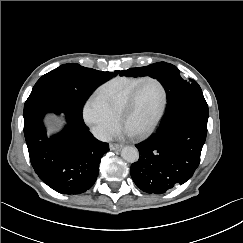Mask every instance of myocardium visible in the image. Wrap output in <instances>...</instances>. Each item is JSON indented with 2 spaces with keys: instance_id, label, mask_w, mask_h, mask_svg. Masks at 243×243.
Returning <instances> with one entry per match:
<instances>
[{
  "instance_id": "obj_1",
  "label": "myocardium",
  "mask_w": 243,
  "mask_h": 243,
  "mask_svg": "<svg viewBox=\"0 0 243 243\" xmlns=\"http://www.w3.org/2000/svg\"><path fill=\"white\" fill-rule=\"evenodd\" d=\"M149 81L156 82L159 85V87L161 88V91H162V102H161L160 108H159L156 116L154 117V119L152 120L150 125L147 126L145 129L134 133L138 137H145V136L149 135L157 127V125L159 124L160 120L162 119V117H163V115L165 113V110H166V107H167L168 95H167L166 87L163 84V82L161 80H159L158 78H156V77H145L144 79H142L133 88V90L130 92V94L128 95L127 99L125 100V102L122 105V107L120 109V112H119L120 123L122 125H124L125 117H126L128 111L132 108L140 87L144 83L149 82Z\"/></svg>"
}]
</instances>
